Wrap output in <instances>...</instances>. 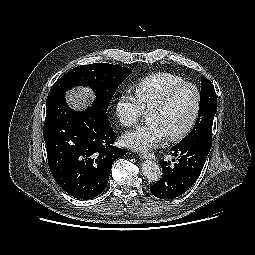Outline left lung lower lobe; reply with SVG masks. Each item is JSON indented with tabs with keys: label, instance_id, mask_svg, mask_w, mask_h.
Returning <instances> with one entry per match:
<instances>
[{
	"label": "left lung lower lobe",
	"instance_id": "left-lung-lower-lobe-1",
	"mask_svg": "<svg viewBox=\"0 0 255 255\" xmlns=\"http://www.w3.org/2000/svg\"><path fill=\"white\" fill-rule=\"evenodd\" d=\"M212 140L198 139L171 148L178 162L171 167L170 162L161 160L162 178L150 187L151 193L160 199H173L186 192L197 180L211 149Z\"/></svg>",
	"mask_w": 255,
	"mask_h": 255
}]
</instances>
